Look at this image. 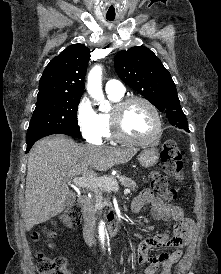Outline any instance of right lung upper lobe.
I'll return each instance as SVG.
<instances>
[{"label": "right lung upper lobe", "mask_w": 221, "mask_h": 274, "mask_svg": "<svg viewBox=\"0 0 221 274\" xmlns=\"http://www.w3.org/2000/svg\"><path fill=\"white\" fill-rule=\"evenodd\" d=\"M88 60L89 48L82 44L68 46L45 68L40 78L37 99L81 97Z\"/></svg>", "instance_id": "cb5924a9"}]
</instances>
